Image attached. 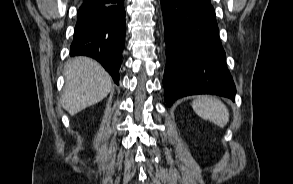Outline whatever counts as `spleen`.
I'll list each match as a JSON object with an SVG mask.
<instances>
[{"label":"spleen","instance_id":"spleen-1","mask_svg":"<svg viewBox=\"0 0 293 184\" xmlns=\"http://www.w3.org/2000/svg\"><path fill=\"white\" fill-rule=\"evenodd\" d=\"M192 108L198 116L220 127H225L229 121V111L227 107L216 98L198 96L192 102Z\"/></svg>","mask_w":293,"mask_h":184}]
</instances>
